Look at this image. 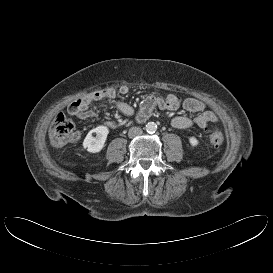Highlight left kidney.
Segmentation results:
<instances>
[{"instance_id": "left-kidney-1", "label": "left kidney", "mask_w": 273, "mask_h": 273, "mask_svg": "<svg viewBox=\"0 0 273 273\" xmlns=\"http://www.w3.org/2000/svg\"><path fill=\"white\" fill-rule=\"evenodd\" d=\"M189 143L193 147H196L199 144L198 140L194 136H192V137L189 138Z\"/></svg>"}]
</instances>
